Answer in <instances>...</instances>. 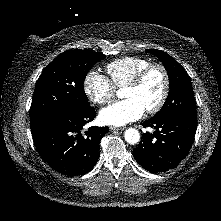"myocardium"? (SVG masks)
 <instances>
[{"label":"myocardium","instance_id":"f54148a6","mask_svg":"<svg viewBox=\"0 0 221 221\" xmlns=\"http://www.w3.org/2000/svg\"><path fill=\"white\" fill-rule=\"evenodd\" d=\"M153 70H158L161 72L163 76V90L156 104L145 110L148 114H154L158 112L167 100L170 91V77L167 69L162 64L150 63L149 65L138 71L125 86V88L138 87L143 82L145 77Z\"/></svg>","mask_w":221,"mask_h":221}]
</instances>
